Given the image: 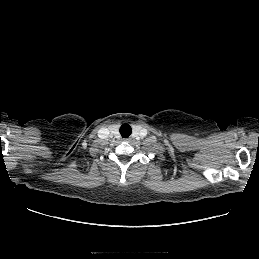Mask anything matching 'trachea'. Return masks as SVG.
<instances>
[{
  "label": "trachea",
  "instance_id": "3493384b",
  "mask_svg": "<svg viewBox=\"0 0 259 259\" xmlns=\"http://www.w3.org/2000/svg\"><path fill=\"white\" fill-rule=\"evenodd\" d=\"M120 134L122 136V138H126V137H129L132 133V128L130 125L128 124H123L120 129Z\"/></svg>",
  "mask_w": 259,
  "mask_h": 259
}]
</instances>
